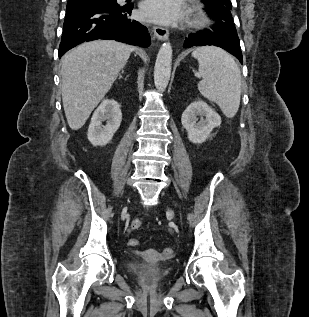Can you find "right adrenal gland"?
Listing matches in <instances>:
<instances>
[{
	"label": "right adrenal gland",
	"mask_w": 309,
	"mask_h": 317,
	"mask_svg": "<svg viewBox=\"0 0 309 317\" xmlns=\"http://www.w3.org/2000/svg\"><path fill=\"white\" fill-rule=\"evenodd\" d=\"M124 73V70H121V74H119V79L122 78V74Z\"/></svg>",
	"instance_id": "obj_1"
}]
</instances>
